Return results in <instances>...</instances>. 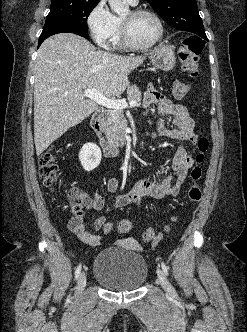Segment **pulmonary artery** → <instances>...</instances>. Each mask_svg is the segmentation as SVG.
<instances>
[{"instance_id":"obj_1","label":"pulmonary artery","mask_w":247,"mask_h":332,"mask_svg":"<svg viewBox=\"0 0 247 332\" xmlns=\"http://www.w3.org/2000/svg\"><path fill=\"white\" fill-rule=\"evenodd\" d=\"M131 5H136L138 0H127Z\"/></svg>"}]
</instances>
